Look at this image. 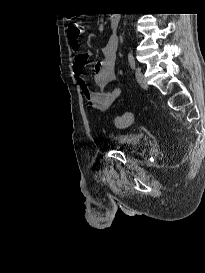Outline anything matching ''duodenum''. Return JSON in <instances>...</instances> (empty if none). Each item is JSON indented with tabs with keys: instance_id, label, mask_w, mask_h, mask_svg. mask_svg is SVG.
I'll use <instances>...</instances> for the list:
<instances>
[{
	"instance_id": "obj_1",
	"label": "duodenum",
	"mask_w": 205,
	"mask_h": 273,
	"mask_svg": "<svg viewBox=\"0 0 205 273\" xmlns=\"http://www.w3.org/2000/svg\"><path fill=\"white\" fill-rule=\"evenodd\" d=\"M119 23V15L118 14H112L110 16V24L113 28L117 27ZM116 38V37H115ZM116 41V39H114Z\"/></svg>"
}]
</instances>
